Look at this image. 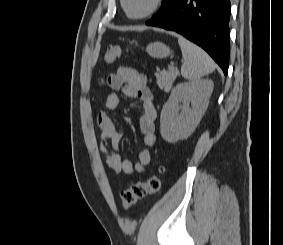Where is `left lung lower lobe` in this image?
I'll return each mask as SVG.
<instances>
[{
	"mask_svg": "<svg viewBox=\"0 0 283 245\" xmlns=\"http://www.w3.org/2000/svg\"><path fill=\"white\" fill-rule=\"evenodd\" d=\"M230 0H173L146 25L176 31L202 47L222 68L229 64Z\"/></svg>",
	"mask_w": 283,
	"mask_h": 245,
	"instance_id": "left-lung-lower-lobe-1",
	"label": "left lung lower lobe"
}]
</instances>
